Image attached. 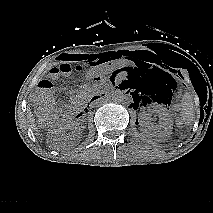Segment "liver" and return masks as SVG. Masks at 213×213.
I'll use <instances>...</instances> for the list:
<instances>
[{
  "instance_id": "1",
  "label": "liver",
  "mask_w": 213,
  "mask_h": 213,
  "mask_svg": "<svg viewBox=\"0 0 213 213\" xmlns=\"http://www.w3.org/2000/svg\"><path fill=\"white\" fill-rule=\"evenodd\" d=\"M27 118H28V120H29V124H30L31 128L36 129V128H35V127H36V125H35V120H34V118H33V114H31V112H29V113L27 114Z\"/></svg>"
}]
</instances>
